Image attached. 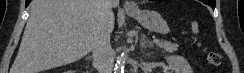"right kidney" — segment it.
I'll use <instances>...</instances> for the list:
<instances>
[{"mask_svg":"<svg viewBox=\"0 0 244 73\" xmlns=\"http://www.w3.org/2000/svg\"><path fill=\"white\" fill-rule=\"evenodd\" d=\"M65 73H74V71H67V72H65Z\"/></svg>","mask_w":244,"mask_h":73,"instance_id":"1","label":"right kidney"}]
</instances>
